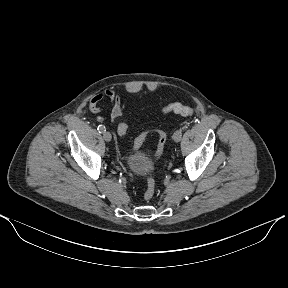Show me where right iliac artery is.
I'll use <instances>...</instances> for the list:
<instances>
[{
	"label": "right iliac artery",
	"mask_w": 288,
	"mask_h": 288,
	"mask_svg": "<svg viewBox=\"0 0 288 288\" xmlns=\"http://www.w3.org/2000/svg\"><path fill=\"white\" fill-rule=\"evenodd\" d=\"M97 129H98L99 133H104L106 131V128L104 125H99Z\"/></svg>",
	"instance_id": "right-iliac-artery-1"
}]
</instances>
